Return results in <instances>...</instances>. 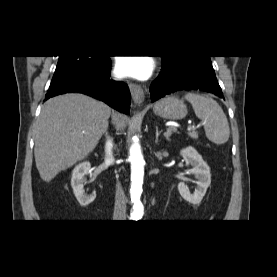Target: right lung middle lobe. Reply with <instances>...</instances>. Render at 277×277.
Returning a JSON list of instances; mask_svg holds the SVG:
<instances>
[{
	"label": "right lung middle lobe",
	"mask_w": 277,
	"mask_h": 277,
	"mask_svg": "<svg viewBox=\"0 0 277 277\" xmlns=\"http://www.w3.org/2000/svg\"><path fill=\"white\" fill-rule=\"evenodd\" d=\"M110 58L100 56H59L50 88L78 82L103 67Z\"/></svg>",
	"instance_id": "right-lung-middle-lobe-1"
}]
</instances>
